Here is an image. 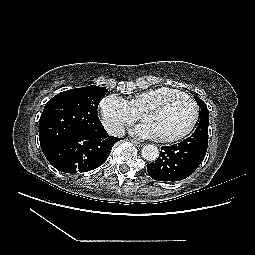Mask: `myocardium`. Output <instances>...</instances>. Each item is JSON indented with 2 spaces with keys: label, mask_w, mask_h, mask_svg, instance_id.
<instances>
[{
  "label": "myocardium",
  "mask_w": 255,
  "mask_h": 255,
  "mask_svg": "<svg viewBox=\"0 0 255 255\" xmlns=\"http://www.w3.org/2000/svg\"><path fill=\"white\" fill-rule=\"evenodd\" d=\"M173 98H182L185 101H187L193 108V117L192 120L190 122V124L181 132L174 134V135H170V136H162V137H156V140L158 142H163V143H169V142H175L177 140H180L184 137H186L187 135H189L193 129L195 128L198 120H199V116H200V108L198 106V103L187 93L180 91V90H174L172 92H169L165 95L160 96L159 98H157L154 102L150 103L149 105H147L139 114L140 118L143 120L144 117V113L151 110V109H155L158 108L160 105H162L163 103L169 101L170 99Z\"/></svg>",
  "instance_id": "myocardium-1"
}]
</instances>
